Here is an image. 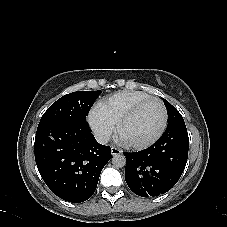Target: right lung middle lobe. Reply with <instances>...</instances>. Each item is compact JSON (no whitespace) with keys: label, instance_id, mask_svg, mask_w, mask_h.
Here are the masks:
<instances>
[{"label":"right lung middle lobe","instance_id":"right-lung-middle-lobe-1","mask_svg":"<svg viewBox=\"0 0 227 227\" xmlns=\"http://www.w3.org/2000/svg\"><path fill=\"white\" fill-rule=\"evenodd\" d=\"M102 91H77L62 96L43 114L40 122H86V116Z\"/></svg>","mask_w":227,"mask_h":227}]
</instances>
